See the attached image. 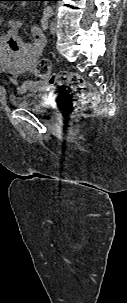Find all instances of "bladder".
I'll use <instances>...</instances> for the list:
<instances>
[{"label":"bladder","mask_w":127,"mask_h":303,"mask_svg":"<svg viewBox=\"0 0 127 303\" xmlns=\"http://www.w3.org/2000/svg\"><path fill=\"white\" fill-rule=\"evenodd\" d=\"M11 104L19 109L30 110L37 113H45L47 106L43 102L41 94L24 93L10 98Z\"/></svg>","instance_id":"1"}]
</instances>
